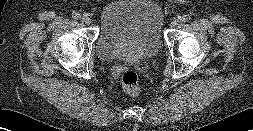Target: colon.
Segmentation results:
<instances>
[{"mask_svg":"<svg viewBox=\"0 0 253 131\" xmlns=\"http://www.w3.org/2000/svg\"><path fill=\"white\" fill-rule=\"evenodd\" d=\"M122 86L129 95H138L140 85L137 73L132 70L126 71L122 76Z\"/></svg>","mask_w":253,"mask_h":131,"instance_id":"colon-1","label":"colon"}]
</instances>
